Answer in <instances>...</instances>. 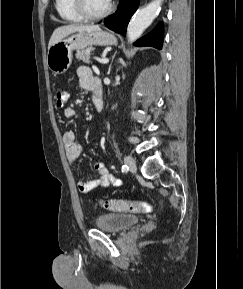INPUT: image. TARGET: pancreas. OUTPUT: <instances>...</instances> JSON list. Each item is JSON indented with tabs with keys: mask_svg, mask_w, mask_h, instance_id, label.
<instances>
[{
	"mask_svg": "<svg viewBox=\"0 0 243 289\" xmlns=\"http://www.w3.org/2000/svg\"><path fill=\"white\" fill-rule=\"evenodd\" d=\"M91 51H93V48L92 47H89L85 50H82V51H78L76 53V58L83 61L84 63L86 64H89L90 63V53Z\"/></svg>",
	"mask_w": 243,
	"mask_h": 289,
	"instance_id": "pancreas-1",
	"label": "pancreas"
}]
</instances>
